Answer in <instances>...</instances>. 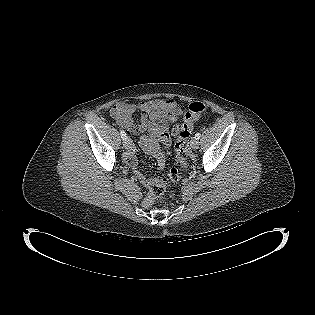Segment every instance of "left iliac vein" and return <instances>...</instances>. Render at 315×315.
<instances>
[{"instance_id":"1","label":"left iliac vein","mask_w":315,"mask_h":315,"mask_svg":"<svg viewBox=\"0 0 315 315\" xmlns=\"http://www.w3.org/2000/svg\"><path fill=\"white\" fill-rule=\"evenodd\" d=\"M190 146L192 149H198L199 147V141L195 137H193L190 141Z\"/></svg>"}]
</instances>
